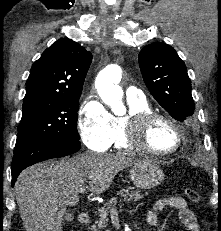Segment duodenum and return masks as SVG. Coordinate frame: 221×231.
<instances>
[{
	"instance_id": "410a0bca",
	"label": "duodenum",
	"mask_w": 221,
	"mask_h": 231,
	"mask_svg": "<svg viewBox=\"0 0 221 231\" xmlns=\"http://www.w3.org/2000/svg\"><path fill=\"white\" fill-rule=\"evenodd\" d=\"M78 220L81 224H87L90 221V214L88 212H81Z\"/></svg>"
}]
</instances>
